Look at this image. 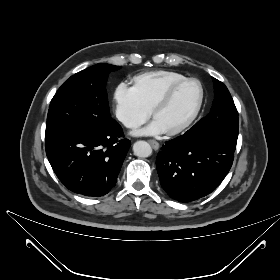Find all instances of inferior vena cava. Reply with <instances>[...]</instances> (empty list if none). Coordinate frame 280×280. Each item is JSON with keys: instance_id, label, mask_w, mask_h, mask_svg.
Returning a JSON list of instances; mask_svg holds the SVG:
<instances>
[{"instance_id": "inferior-vena-cava-1", "label": "inferior vena cava", "mask_w": 280, "mask_h": 280, "mask_svg": "<svg viewBox=\"0 0 280 280\" xmlns=\"http://www.w3.org/2000/svg\"><path fill=\"white\" fill-rule=\"evenodd\" d=\"M122 122L128 128H136V127H138V123L136 121H134L133 119H131V118L125 117V118L122 119Z\"/></svg>"}]
</instances>
